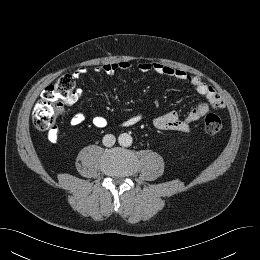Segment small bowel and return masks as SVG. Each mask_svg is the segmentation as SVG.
<instances>
[{
	"label": "small bowel",
	"mask_w": 260,
	"mask_h": 260,
	"mask_svg": "<svg viewBox=\"0 0 260 260\" xmlns=\"http://www.w3.org/2000/svg\"><path fill=\"white\" fill-rule=\"evenodd\" d=\"M130 67L129 62L127 61H118V62H110L106 63L102 66L96 68L97 72H102L108 75H112L120 70H127ZM139 69L142 72H153L158 75L167 76L171 78H175L177 80L183 81L190 86H192L195 91L205 96L207 99V103H202L192 109L186 116L181 117L176 112H168L163 115L156 117L153 120V125L156 129L161 131H181L188 132L191 129L192 123L199 120L205 114H207L211 109H223L226 104L220 94L209 84L201 80L199 77L188 74L187 72L176 69L158 62H141L139 64ZM87 69L84 67L78 68L74 71L73 75L75 78H80L84 74H86ZM143 119L141 114H135L124 119L121 122L123 127L133 126L139 123ZM85 120V115L81 112L74 114L70 118V124L72 126H79ZM93 124L98 128H103L107 125V119L103 116H96L93 119ZM49 140L51 142L57 141V131L50 132Z\"/></svg>",
	"instance_id": "obj_1"
}]
</instances>
